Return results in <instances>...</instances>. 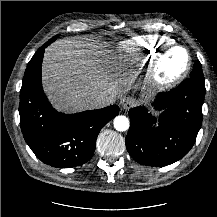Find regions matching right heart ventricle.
I'll return each instance as SVG.
<instances>
[{"instance_id": "e07e8e85", "label": "right heart ventricle", "mask_w": 217, "mask_h": 217, "mask_svg": "<svg viewBox=\"0 0 217 217\" xmlns=\"http://www.w3.org/2000/svg\"><path fill=\"white\" fill-rule=\"evenodd\" d=\"M171 44L172 40L166 36L147 35L121 42L119 50L126 61L139 62L147 56V61L152 62L161 50Z\"/></svg>"}]
</instances>
